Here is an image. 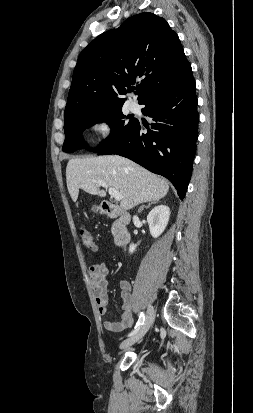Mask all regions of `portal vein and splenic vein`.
I'll list each match as a JSON object with an SVG mask.
<instances>
[{
    "instance_id": "1",
    "label": "portal vein and splenic vein",
    "mask_w": 253,
    "mask_h": 413,
    "mask_svg": "<svg viewBox=\"0 0 253 413\" xmlns=\"http://www.w3.org/2000/svg\"><path fill=\"white\" fill-rule=\"evenodd\" d=\"M95 182H96L99 186H102V187H104L105 189H108V193H109V194L111 195V197H113L115 200H117V201L122 200V194H121L118 190L109 187L105 182H103V181H101V180H98V181H95Z\"/></svg>"
}]
</instances>
